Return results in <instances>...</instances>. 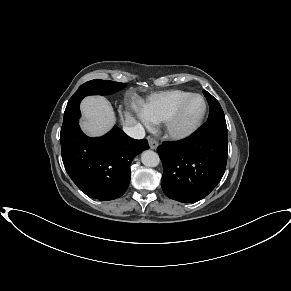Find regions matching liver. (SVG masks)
Returning <instances> with one entry per match:
<instances>
[{
  "label": "liver",
  "mask_w": 291,
  "mask_h": 291,
  "mask_svg": "<svg viewBox=\"0 0 291 291\" xmlns=\"http://www.w3.org/2000/svg\"><path fill=\"white\" fill-rule=\"evenodd\" d=\"M84 120L82 130L89 136H100L107 132L115 122V114L110 103L103 97H86L81 103ZM126 125L135 124L129 112L125 113Z\"/></svg>",
  "instance_id": "1"
}]
</instances>
